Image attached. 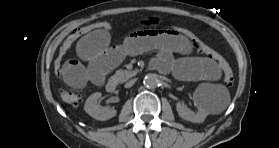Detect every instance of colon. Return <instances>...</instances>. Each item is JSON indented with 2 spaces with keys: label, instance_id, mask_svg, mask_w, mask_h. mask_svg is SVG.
<instances>
[{
  "label": "colon",
  "instance_id": "obj_1",
  "mask_svg": "<svg viewBox=\"0 0 279 148\" xmlns=\"http://www.w3.org/2000/svg\"><path fill=\"white\" fill-rule=\"evenodd\" d=\"M112 29V24L106 20H98L91 22L83 27L73 30L66 40L61 45L58 54L54 61V71L58 78H62V69L66 61V57L71 50L72 46L85 35L97 31L103 30L108 31ZM165 31L177 34L182 38L186 39L192 47H194L199 53L204 54L209 59L213 60L222 69L224 74V81L228 87H232L234 83V74L231 66L225 60V58L218 52L213 50L204 44L193 32L190 30L180 27L172 26ZM62 100L70 105L71 107H78L82 102V96L72 89H62L60 91Z\"/></svg>",
  "mask_w": 279,
  "mask_h": 148
}]
</instances>
